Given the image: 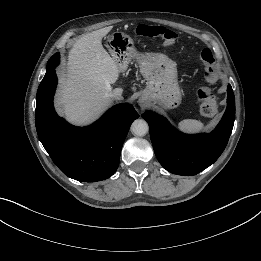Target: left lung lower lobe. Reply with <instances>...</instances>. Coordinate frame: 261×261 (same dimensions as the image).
Here are the masks:
<instances>
[{
    "label": "left lung lower lobe",
    "instance_id": "1",
    "mask_svg": "<svg viewBox=\"0 0 261 261\" xmlns=\"http://www.w3.org/2000/svg\"><path fill=\"white\" fill-rule=\"evenodd\" d=\"M227 92V109L210 134L186 135L160 115L149 111L142 114L149 124L156 157L166 170L178 175H195L219 158L228 143L235 120V99L230 85Z\"/></svg>",
    "mask_w": 261,
    "mask_h": 261
}]
</instances>
